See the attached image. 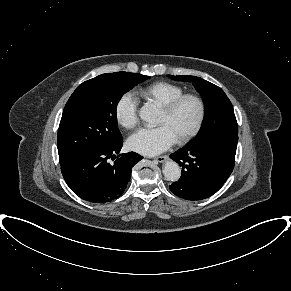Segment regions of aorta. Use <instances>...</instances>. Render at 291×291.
<instances>
[{"label": "aorta", "mask_w": 291, "mask_h": 291, "mask_svg": "<svg viewBox=\"0 0 291 291\" xmlns=\"http://www.w3.org/2000/svg\"><path fill=\"white\" fill-rule=\"evenodd\" d=\"M139 116L149 125H154L157 122L158 109L154 105L146 104L140 109ZM163 174L168 181H178L181 176L180 166L175 161H167L163 168Z\"/></svg>", "instance_id": "762f6f07"}]
</instances>
